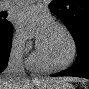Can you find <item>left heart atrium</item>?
Returning <instances> with one entry per match:
<instances>
[{
	"mask_svg": "<svg viewBox=\"0 0 89 89\" xmlns=\"http://www.w3.org/2000/svg\"><path fill=\"white\" fill-rule=\"evenodd\" d=\"M18 28L26 35L42 41L53 26L50 15L35 6L21 9L16 15Z\"/></svg>",
	"mask_w": 89,
	"mask_h": 89,
	"instance_id": "39dd6f15",
	"label": "left heart atrium"
}]
</instances>
